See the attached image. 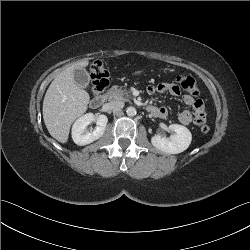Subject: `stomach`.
I'll use <instances>...</instances> for the list:
<instances>
[{
    "label": "stomach",
    "instance_id": "stomach-1",
    "mask_svg": "<svg viewBox=\"0 0 250 250\" xmlns=\"http://www.w3.org/2000/svg\"><path fill=\"white\" fill-rule=\"evenodd\" d=\"M160 70H161L162 72H165V73L169 71L168 68H161ZM141 74H142V71H140V70L134 72V75H136V76H139V75H141Z\"/></svg>",
    "mask_w": 250,
    "mask_h": 250
}]
</instances>
